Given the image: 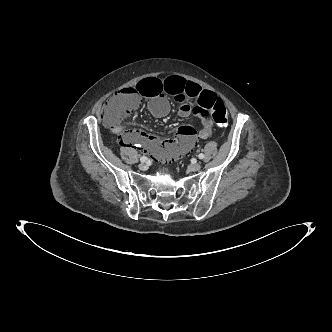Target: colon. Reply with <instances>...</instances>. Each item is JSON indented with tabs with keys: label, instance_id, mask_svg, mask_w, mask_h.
Returning a JSON list of instances; mask_svg holds the SVG:
<instances>
[{
	"label": "colon",
	"instance_id": "1",
	"mask_svg": "<svg viewBox=\"0 0 332 332\" xmlns=\"http://www.w3.org/2000/svg\"><path fill=\"white\" fill-rule=\"evenodd\" d=\"M136 82V81H135ZM127 88L109 99L103 110V119L105 123L112 129L117 130L119 138L123 129L120 123L129 114L133 113L140 104V98L135 89ZM210 111L214 122L219 127H225L228 123V111L220 98H215L210 106Z\"/></svg>",
	"mask_w": 332,
	"mask_h": 332
}]
</instances>
